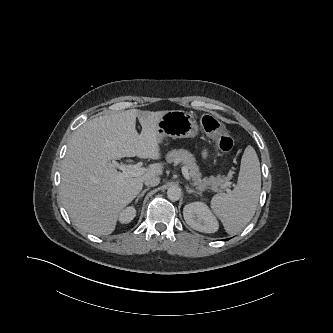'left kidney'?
Instances as JSON below:
<instances>
[{
  "label": "left kidney",
  "mask_w": 333,
  "mask_h": 333,
  "mask_svg": "<svg viewBox=\"0 0 333 333\" xmlns=\"http://www.w3.org/2000/svg\"><path fill=\"white\" fill-rule=\"evenodd\" d=\"M183 216L186 223L199 232L214 233L219 228L217 219L203 202L187 204L183 209Z\"/></svg>",
  "instance_id": "obj_1"
}]
</instances>
